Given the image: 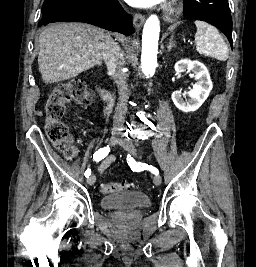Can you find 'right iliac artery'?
Masks as SVG:
<instances>
[{"mask_svg":"<svg viewBox=\"0 0 256 267\" xmlns=\"http://www.w3.org/2000/svg\"><path fill=\"white\" fill-rule=\"evenodd\" d=\"M109 152H110L109 146L104 147V148H100L98 151H96L94 153L93 159L98 162V161L104 159L108 155ZM84 175H85L86 178H88L91 175V170L87 169L85 171Z\"/></svg>","mask_w":256,"mask_h":267,"instance_id":"obj_1","label":"right iliac artery"}]
</instances>
